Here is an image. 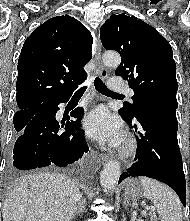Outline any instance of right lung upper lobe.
Here are the masks:
<instances>
[{
	"label": "right lung upper lobe",
	"instance_id": "1",
	"mask_svg": "<svg viewBox=\"0 0 190 221\" xmlns=\"http://www.w3.org/2000/svg\"><path fill=\"white\" fill-rule=\"evenodd\" d=\"M92 43L91 33L69 15L40 25L24 42L18 60L16 113L71 94L86 79L83 67L92 58Z\"/></svg>",
	"mask_w": 190,
	"mask_h": 221
}]
</instances>
